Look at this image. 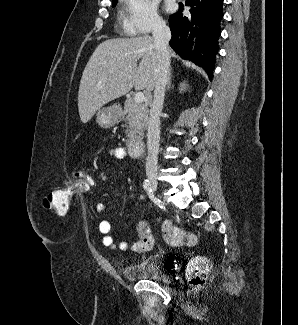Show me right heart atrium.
Segmentation results:
<instances>
[{
  "mask_svg": "<svg viewBox=\"0 0 298 325\" xmlns=\"http://www.w3.org/2000/svg\"><path fill=\"white\" fill-rule=\"evenodd\" d=\"M125 32L128 37H144L147 30H160L162 21L155 0H128Z\"/></svg>",
  "mask_w": 298,
  "mask_h": 325,
  "instance_id": "1",
  "label": "right heart atrium"
}]
</instances>
